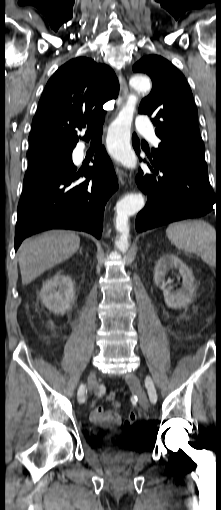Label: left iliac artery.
Here are the masks:
<instances>
[{
	"label": "left iliac artery",
	"instance_id": "left-iliac-artery-1",
	"mask_svg": "<svg viewBox=\"0 0 221 510\" xmlns=\"http://www.w3.org/2000/svg\"><path fill=\"white\" fill-rule=\"evenodd\" d=\"M145 386L147 388L149 399H150L151 403L155 404L157 402V394L152 389L153 384H152L151 378L149 376L146 377Z\"/></svg>",
	"mask_w": 221,
	"mask_h": 510
}]
</instances>
